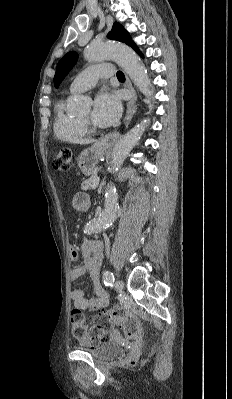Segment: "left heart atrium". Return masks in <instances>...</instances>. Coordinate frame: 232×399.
<instances>
[{"label": "left heart atrium", "instance_id": "left-heart-atrium-1", "mask_svg": "<svg viewBox=\"0 0 232 399\" xmlns=\"http://www.w3.org/2000/svg\"><path fill=\"white\" fill-rule=\"evenodd\" d=\"M121 112L122 106L118 97L113 93H103L95 100L91 119L100 127H109L118 121Z\"/></svg>", "mask_w": 232, "mask_h": 399}]
</instances>
